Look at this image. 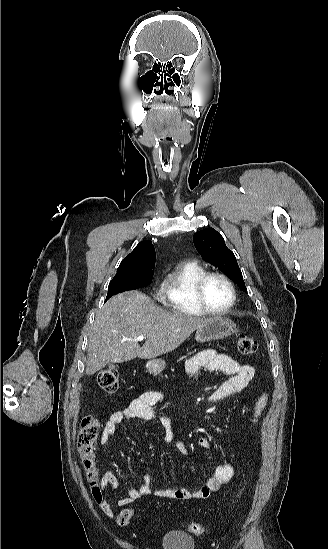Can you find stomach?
Segmentation results:
<instances>
[{"instance_id":"stomach-1","label":"stomach","mask_w":328,"mask_h":549,"mask_svg":"<svg viewBox=\"0 0 328 549\" xmlns=\"http://www.w3.org/2000/svg\"><path fill=\"white\" fill-rule=\"evenodd\" d=\"M234 333H237V327L231 319L214 317V319H209L206 325L197 329L195 339L197 343H207V341H215V339H225ZM165 365L166 363L162 359H151L146 363V371L151 375H158L165 369Z\"/></svg>"}]
</instances>
